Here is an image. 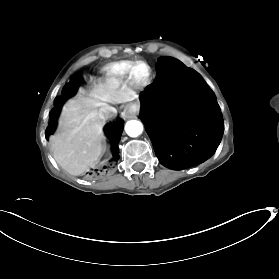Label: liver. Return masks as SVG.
Masks as SVG:
<instances>
[{"instance_id": "1", "label": "liver", "mask_w": 279, "mask_h": 279, "mask_svg": "<svg viewBox=\"0 0 279 279\" xmlns=\"http://www.w3.org/2000/svg\"><path fill=\"white\" fill-rule=\"evenodd\" d=\"M94 99L71 101L65 108L60 133L52 138L54 159L69 174L80 175L94 167L105 151L100 126L96 122L97 106L132 101L134 93L108 83L93 91Z\"/></svg>"}]
</instances>
